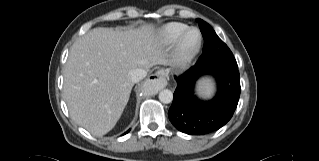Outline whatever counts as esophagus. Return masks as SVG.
Instances as JSON below:
<instances>
[{
	"mask_svg": "<svg viewBox=\"0 0 319 161\" xmlns=\"http://www.w3.org/2000/svg\"><path fill=\"white\" fill-rule=\"evenodd\" d=\"M147 81L151 82L157 90H161L167 85V79L164 77L163 71H156L148 77Z\"/></svg>",
	"mask_w": 319,
	"mask_h": 161,
	"instance_id": "esophagus-1",
	"label": "esophagus"
}]
</instances>
